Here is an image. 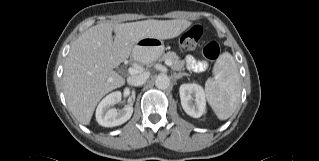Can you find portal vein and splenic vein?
<instances>
[{
	"mask_svg": "<svg viewBox=\"0 0 319 161\" xmlns=\"http://www.w3.org/2000/svg\"><path fill=\"white\" fill-rule=\"evenodd\" d=\"M165 64H166L167 66H171V62H170L169 60H166V61H165ZM128 71H129L130 74H136V73L138 72V70H137L136 68H134V67H130V68L128 69Z\"/></svg>",
	"mask_w": 319,
	"mask_h": 161,
	"instance_id": "portal-vein-and-splenic-vein-1",
	"label": "portal vein and splenic vein"
}]
</instances>
